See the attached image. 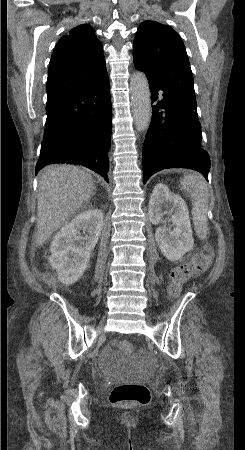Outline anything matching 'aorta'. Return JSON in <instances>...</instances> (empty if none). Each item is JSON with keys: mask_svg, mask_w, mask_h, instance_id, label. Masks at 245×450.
<instances>
[{"mask_svg": "<svg viewBox=\"0 0 245 450\" xmlns=\"http://www.w3.org/2000/svg\"><path fill=\"white\" fill-rule=\"evenodd\" d=\"M131 102L134 122L139 132H144L151 120V99L147 78L144 73L136 71L130 79Z\"/></svg>", "mask_w": 245, "mask_h": 450, "instance_id": "1", "label": "aorta"}]
</instances>
